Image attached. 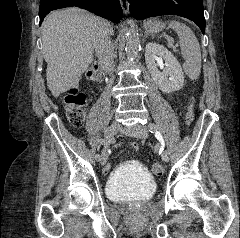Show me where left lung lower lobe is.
Wrapping results in <instances>:
<instances>
[{
	"instance_id": "left-lung-lower-lobe-1",
	"label": "left lung lower lobe",
	"mask_w": 240,
	"mask_h": 238,
	"mask_svg": "<svg viewBox=\"0 0 240 238\" xmlns=\"http://www.w3.org/2000/svg\"><path fill=\"white\" fill-rule=\"evenodd\" d=\"M135 19L160 15H177L195 22L205 33L203 0H128Z\"/></svg>"
}]
</instances>
